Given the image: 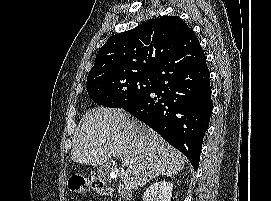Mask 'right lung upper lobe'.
Returning a JSON list of instances; mask_svg holds the SVG:
<instances>
[{
  "label": "right lung upper lobe",
  "mask_w": 271,
  "mask_h": 201,
  "mask_svg": "<svg viewBox=\"0 0 271 201\" xmlns=\"http://www.w3.org/2000/svg\"><path fill=\"white\" fill-rule=\"evenodd\" d=\"M189 34L194 35L192 29L178 16L148 20L132 30L111 37L96 55L88 77L123 73L154 74Z\"/></svg>",
  "instance_id": "cb5924a9"
}]
</instances>
